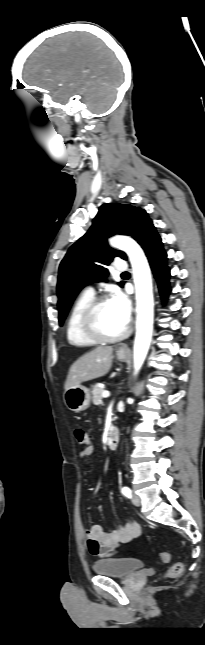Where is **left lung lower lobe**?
Wrapping results in <instances>:
<instances>
[{
    "label": "left lung lower lobe",
    "mask_w": 205,
    "mask_h": 645,
    "mask_svg": "<svg viewBox=\"0 0 205 645\" xmlns=\"http://www.w3.org/2000/svg\"><path fill=\"white\" fill-rule=\"evenodd\" d=\"M144 249L150 263L151 269L158 282V287L163 299H166L169 288L170 269L167 266V253L163 249V243L156 228L151 226L139 243Z\"/></svg>",
    "instance_id": "1"
}]
</instances>
